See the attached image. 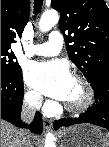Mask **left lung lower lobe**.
I'll use <instances>...</instances> for the list:
<instances>
[{
  "label": "left lung lower lobe",
  "mask_w": 109,
  "mask_h": 147,
  "mask_svg": "<svg viewBox=\"0 0 109 147\" xmlns=\"http://www.w3.org/2000/svg\"><path fill=\"white\" fill-rule=\"evenodd\" d=\"M95 93V103L87 112L78 118H63L53 124L57 130L61 126H71L79 123H90L109 130V73H103L91 83Z\"/></svg>",
  "instance_id": "obj_1"
}]
</instances>
